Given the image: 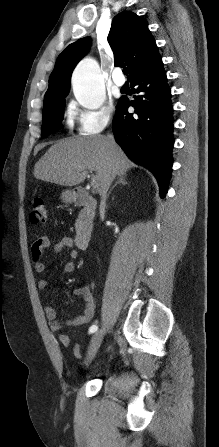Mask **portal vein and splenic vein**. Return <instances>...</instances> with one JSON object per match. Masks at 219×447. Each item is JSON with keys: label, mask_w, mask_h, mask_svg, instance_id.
<instances>
[{"label": "portal vein and splenic vein", "mask_w": 219, "mask_h": 447, "mask_svg": "<svg viewBox=\"0 0 219 447\" xmlns=\"http://www.w3.org/2000/svg\"><path fill=\"white\" fill-rule=\"evenodd\" d=\"M91 186H92L93 189L98 188V184H97V181L95 179H92Z\"/></svg>", "instance_id": "portal-vein-and-splenic-vein-1"}]
</instances>
